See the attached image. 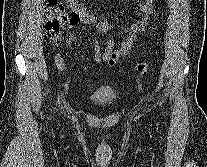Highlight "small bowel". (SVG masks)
<instances>
[{
  "label": "small bowel",
  "mask_w": 207,
  "mask_h": 167,
  "mask_svg": "<svg viewBox=\"0 0 207 167\" xmlns=\"http://www.w3.org/2000/svg\"><path fill=\"white\" fill-rule=\"evenodd\" d=\"M71 10L72 17L69 22V28L72 29L78 25H91L97 24L102 31L111 32L113 30L112 26L109 24L106 16L104 14L96 16L90 13L86 6L81 2V0H67ZM154 0H141L135 11L136 19L131 24L127 25L125 28L126 38L121 43L119 49H115V42L113 39H108L104 51L101 52L99 43L96 39H93L94 47V59L93 62L88 66H84L79 71L81 73H88L93 70L100 62H105L110 66L115 65V63L122 57H125L130 52L132 46L136 43L138 35L144 31L149 23L150 15L153 12ZM77 36V33L73 32L69 35L66 40V46H71V41ZM61 38L53 42L55 46L59 45ZM55 63L60 70L66 71L68 68L62 61L59 54L55 55Z\"/></svg>",
  "instance_id": "small-bowel-1"
}]
</instances>
